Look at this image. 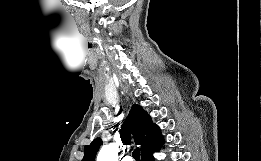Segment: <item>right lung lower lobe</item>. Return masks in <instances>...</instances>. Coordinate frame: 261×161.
Returning <instances> with one entry per match:
<instances>
[{
  "label": "right lung lower lobe",
  "instance_id": "right-lung-lower-lobe-1",
  "mask_svg": "<svg viewBox=\"0 0 261 161\" xmlns=\"http://www.w3.org/2000/svg\"><path fill=\"white\" fill-rule=\"evenodd\" d=\"M162 145H163V144H162ZM162 145H161V146H162ZM161 146L158 147V148H156V149L153 150L152 152H150V153H148V154L142 156V157H141V160H142V161H154L153 153L159 151L160 148H161Z\"/></svg>",
  "mask_w": 261,
  "mask_h": 161
}]
</instances>
